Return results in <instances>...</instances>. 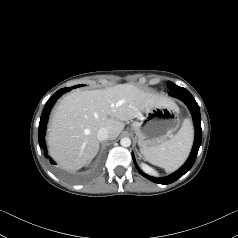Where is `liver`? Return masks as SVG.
Segmentation results:
<instances>
[{
  "label": "liver",
  "mask_w": 238,
  "mask_h": 238,
  "mask_svg": "<svg viewBox=\"0 0 238 238\" xmlns=\"http://www.w3.org/2000/svg\"><path fill=\"white\" fill-rule=\"evenodd\" d=\"M172 105L169 99L131 84L72 92L61 100L52 117L49 152L63 168L78 170L98 153L100 128H107L109 139L114 140L124 128L123 121L140 118L156 106Z\"/></svg>",
  "instance_id": "obj_1"
}]
</instances>
